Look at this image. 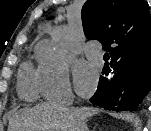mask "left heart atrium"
Listing matches in <instances>:
<instances>
[{
    "label": "left heart atrium",
    "instance_id": "obj_1",
    "mask_svg": "<svg viewBox=\"0 0 151 131\" xmlns=\"http://www.w3.org/2000/svg\"><path fill=\"white\" fill-rule=\"evenodd\" d=\"M95 71L85 62H79L75 68V86L82 95L91 93L96 85Z\"/></svg>",
    "mask_w": 151,
    "mask_h": 131
}]
</instances>
